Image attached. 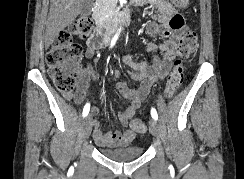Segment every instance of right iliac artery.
Here are the masks:
<instances>
[{"label": "right iliac artery", "instance_id": "1", "mask_svg": "<svg viewBox=\"0 0 244 179\" xmlns=\"http://www.w3.org/2000/svg\"><path fill=\"white\" fill-rule=\"evenodd\" d=\"M118 39V34L114 36V38L111 41V47L115 44L116 40ZM90 110V104L87 103L83 108V117H86Z\"/></svg>", "mask_w": 244, "mask_h": 179}]
</instances>
